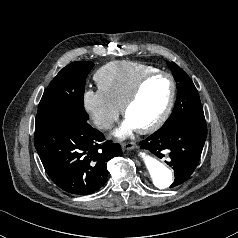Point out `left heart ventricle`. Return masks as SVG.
<instances>
[{"label":"left heart ventricle","instance_id":"1","mask_svg":"<svg viewBox=\"0 0 238 238\" xmlns=\"http://www.w3.org/2000/svg\"><path fill=\"white\" fill-rule=\"evenodd\" d=\"M170 96V83L164 76H158L148 81L143 87L138 99L128 109L126 118L136 128H142L153 123L163 112Z\"/></svg>","mask_w":238,"mask_h":238}]
</instances>
